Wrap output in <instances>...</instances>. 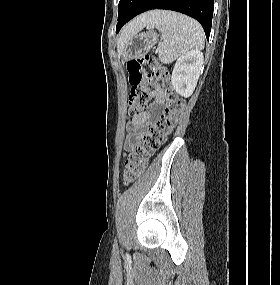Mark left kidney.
I'll use <instances>...</instances> for the list:
<instances>
[{"instance_id": "left-kidney-1", "label": "left kidney", "mask_w": 280, "mask_h": 285, "mask_svg": "<svg viewBox=\"0 0 280 285\" xmlns=\"http://www.w3.org/2000/svg\"><path fill=\"white\" fill-rule=\"evenodd\" d=\"M203 65V53L198 49L182 55L172 72V86L181 96L190 97L197 85Z\"/></svg>"}]
</instances>
